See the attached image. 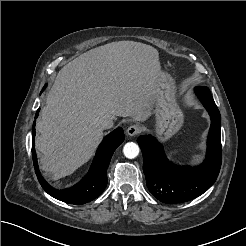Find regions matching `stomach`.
<instances>
[{
  "label": "stomach",
  "instance_id": "1",
  "mask_svg": "<svg viewBox=\"0 0 246 246\" xmlns=\"http://www.w3.org/2000/svg\"><path fill=\"white\" fill-rule=\"evenodd\" d=\"M155 133L167 141L183 126L184 115L176 100V88L170 76H161L157 85Z\"/></svg>",
  "mask_w": 246,
  "mask_h": 246
}]
</instances>
